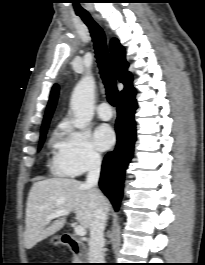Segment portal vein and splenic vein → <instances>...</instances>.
Returning <instances> with one entry per match:
<instances>
[{"label": "portal vein and splenic vein", "instance_id": "18ae733b", "mask_svg": "<svg viewBox=\"0 0 205 265\" xmlns=\"http://www.w3.org/2000/svg\"><path fill=\"white\" fill-rule=\"evenodd\" d=\"M69 215V211L67 210H58L55 211L54 213H51L50 215L47 216V221L49 222L50 220L60 217V216H66ZM74 231L78 236H85L86 235V230L84 227L81 225H75L74 226Z\"/></svg>", "mask_w": 205, "mask_h": 265}]
</instances>
